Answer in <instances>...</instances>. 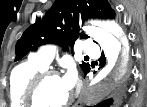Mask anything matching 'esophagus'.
<instances>
[{
    "mask_svg": "<svg viewBox=\"0 0 147 107\" xmlns=\"http://www.w3.org/2000/svg\"><path fill=\"white\" fill-rule=\"evenodd\" d=\"M85 89H86V87H84L83 92L85 91ZM79 102L81 103V102H82V100L80 99V100H79Z\"/></svg>",
    "mask_w": 147,
    "mask_h": 107,
    "instance_id": "34e87169",
    "label": "esophagus"
}]
</instances>
